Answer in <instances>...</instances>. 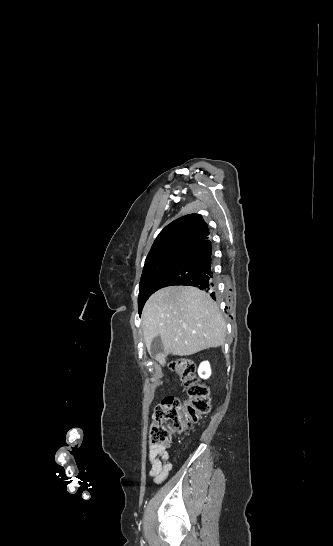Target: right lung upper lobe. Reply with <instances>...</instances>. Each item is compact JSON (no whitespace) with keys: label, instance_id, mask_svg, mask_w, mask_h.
I'll use <instances>...</instances> for the list:
<instances>
[{"label":"right lung upper lobe","instance_id":"obj_1","mask_svg":"<svg viewBox=\"0 0 333 546\" xmlns=\"http://www.w3.org/2000/svg\"><path fill=\"white\" fill-rule=\"evenodd\" d=\"M209 237L210 231L202 216L189 214L174 220L159 233L148 256L170 248L191 249Z\"/></svg>","mask_w":333,"mask_h":546}]
</instances>
